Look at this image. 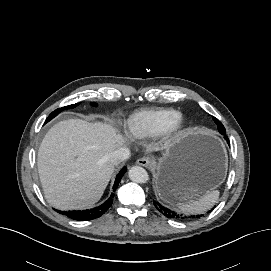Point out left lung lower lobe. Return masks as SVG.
<instances>
[{"instance_id": "obj_1", "label": "left lung lower lobe", "mask_w": 271, "mask_h": 271, "mask_svg": "<svg viewBox=\"0 0 271 271\" xmlns=\"http://www.w3.org/2000/svg\"><path fill=\"white\" fill-rule=\"evenodd\" d=\"M225 130V129H224ZM223 135H225V131L224 133H222ZM226 139V141L229 143V139L227 136L224 137ZM154 206L156 207V209L161 212L164 216H166L167 218H171V219H190V218H199L201 217V215H196V216H185L182 214H177L176 212L172 211L171 209L162 206L160 203L155 202Z\"/></svg>"}]
</instances>
